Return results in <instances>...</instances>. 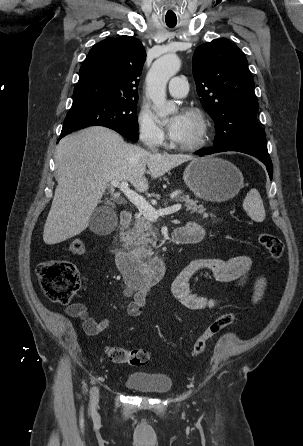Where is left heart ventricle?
I'll return each instance as SVG.
<instances>
[{"label":"left heart ventricle","instance_id":"1","mask_svg":"<svg viewBox=\"0 0 303 446\" xmlns=\"http://www.w3.org/2000/svg\"><path fill=\"white\" fill-rule=\"evenodd\" d=\"M199 131L198 120L190 114H185V126L181 137L176 140L178 143H189L193 141Z\"/></svg>","mask_w":303,"mask_h":446}]
</instances>
